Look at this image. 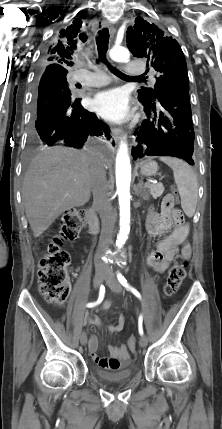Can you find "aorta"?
Segmentation results:
<instances>
[{
	"label": "aorta",
	"mask_w": 222,
	"mask_h": 429,
	"mask_svg": "<svg viewBox=\"0 0 222 429\" xmlns=\"http://www.w3.org/2000/svg\"><path fill=\"white\" fill-rule=\"evenodd\" d=\"M111 59L117 62H128L130 53L128 49L115 46L109 53ZM130 183L131 164L126 141H121L116 156V187L120 206V230L116 244L121 248L130 231Z\"/></svg>",
	"instance_id": "obj_1"
}]
</instances>
